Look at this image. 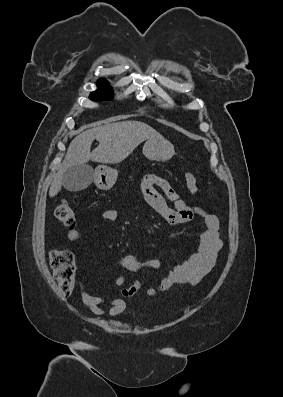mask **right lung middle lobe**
<instances>
[{"label": "right lung middle lobe", "mask_w": 283, "mask_h": 397, "mask_svg": "<svg viewBox=\"0 0 283 397\" xmlns=\"http://www.w3.org/2000/svg\"><path fill=\"white\" fill-rule=\"evenodd\" d=\"M114 92L112 88L109 86L108 82H100L98 83V89L92 92L89 98L92 101L98 100H108L112 99Z\"/></svg>", "instance_id": "dd1d6c3e"}]
</instances>
